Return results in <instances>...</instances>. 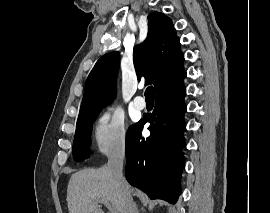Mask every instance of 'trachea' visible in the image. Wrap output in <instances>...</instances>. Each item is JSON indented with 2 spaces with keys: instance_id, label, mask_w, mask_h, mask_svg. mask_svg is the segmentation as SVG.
Masks as SVG:
<instances>
[{
  "instance_id": "trachea-1",
  "label": "trachea",
  "mask_w": 270,
  "mask_h": 213,
  "mask_svg": "<svg viewBox=\"0 0 270 213\" xmlns=\"http://www.w3.org/2000/svg\"><path fill=\"white\" fill-rule=\"evenodd\" d=\"M155 97V91L153 86H149L145 91V98L146 99H154Z\"/></svg>"
}]
</instances>
